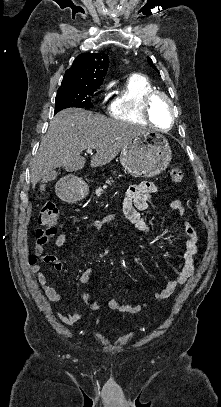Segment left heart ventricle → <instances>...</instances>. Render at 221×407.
<instances>
[{
  "label": "left heart ventricle",
  "instance_id": "1",
  "mask_svg": "<svg viewBox=\"0 0 221 407\" xmlns=\"http://www.w3.org/2000/svg\"><path fill=\"white\" fill-rule=\"evenodd\" d=\"M154 123L160 128H167L170 124L171 111L163 99L156 100L151 108Z\"/></svg>",
  "mask_w": 221,
  "mask_h": 407
}]
</instances>
